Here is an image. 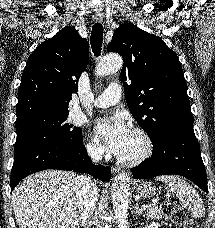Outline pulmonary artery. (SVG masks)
Returning a JSON list of instances; mask_svg holds the SVG:
<instances>
[{
    "label": "pulmonary artery",
    "instance_id": "1",
    "mask_svg": "<svg viewBox=\"0 0 215 228\" xmlns=\"http://www.w3.org/2000/svg\"><path fill=\"white\" fill-rule=\"evenodd\" d=\"M106 88L107 89L95 100V107L106 108L115 105L120 101V84H107Z\"/></svg>",
    "mask_w": 215,
    "mask_h": 228
}]
</instances>
